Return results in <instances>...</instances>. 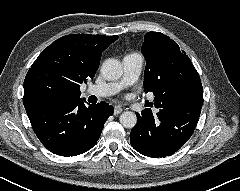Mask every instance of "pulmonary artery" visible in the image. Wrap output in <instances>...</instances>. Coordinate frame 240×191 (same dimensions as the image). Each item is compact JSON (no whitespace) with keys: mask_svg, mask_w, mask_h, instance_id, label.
<instances>
[{"mask_svg":"<svg viewBox=\"0 0 240 191\" xmlns=\"http://www.w3.org/2000/svg\"><path fill=\"white\" fill-rule=\"evenodd\" d=\"M123 75L118 81L92 85L88 88V94L97 97H107L114 95L133 84L139 77L143 58L139 53H129L123 57Z\"/></svg>","mask_w":240,"mask_h":191,"instance_id":"obj_1","label":"pulmonary artery"}]
</instances>
